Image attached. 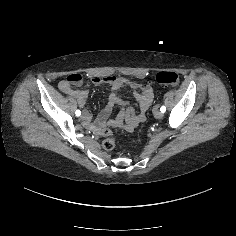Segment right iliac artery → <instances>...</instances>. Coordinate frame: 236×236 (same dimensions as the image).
Listing matches in <instances>:
<instances>
[{
	"label": "right iliac artery",
	"mask_w": 236,
	"mask_h": 236,
	"mask_svg": "<svg viewBox=\"0 0 236 236\" xmlns=\"http://www.w3.org/2000/svg\"><path fill=\"white\" fill-rule=\"evenodd\" d=\"M75 114H76V116H80L81 115V111L80 110H76Z\"/></svg>",
	"instance_id": "obj_1"
}]
</instances>
